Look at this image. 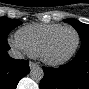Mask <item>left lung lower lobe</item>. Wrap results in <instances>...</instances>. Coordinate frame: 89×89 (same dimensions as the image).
Masks as SVG:
<instances>
[{
	"label": "left lung lower lobe",
	"mask_w": 89,
	"mask_h": 89,
	"mask_svg": "<svg viewBox=\"0 0 89 89\" xmlns=\"http://www.w3.org/2000/svg\"><path fill=\"white\" fill-rule=\"evenodd\" d=\"M40 89H89V42L81 43L75 58L59 68L42 67Z\"/></svg>",
	"instance_id": "0a47b994"
}]
</instances>
